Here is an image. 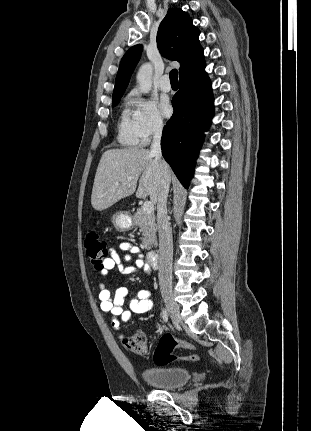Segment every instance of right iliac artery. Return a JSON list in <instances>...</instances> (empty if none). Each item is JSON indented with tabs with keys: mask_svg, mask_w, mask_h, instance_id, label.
<instances>
[{
	"mask_svg": "<svg viewBox=\"0 0 311 431\" xmlns=\"http://www.w3.org/2000/svg\"><path fill=\"white\" fill-rule=\"evenodd\" d=\"M168 316H169V311L167 308H164L162 310V318H163L164 322L168 321Z\"/></svg>",
	"mask_w": 311,
	"mask_h": 431,
	"instance_id": "obj_1",
	"label": "right iliac artery"
}]
</instances>
